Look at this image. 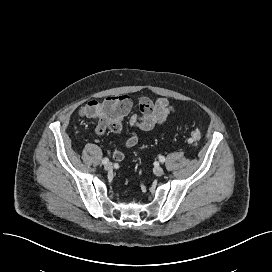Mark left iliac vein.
Segmentation results:
<instances>
[{"label":"left iliac vein","mask_w":272,"mask_h":272,"mask_svg":"<svg viewBox=\"0 0 272 272\" xmlns=\"http://www.w3.org/2000/svg\"><path fill=\"white\" fill-rule=\"evenodd\" d=\"M154 173H155V175H157V176H161V175H163L164 170H163V168L160 167V166H155V168H154Z\"/></svg>","instance_id":"4c4485c4"}]
</instances>
